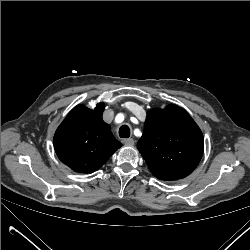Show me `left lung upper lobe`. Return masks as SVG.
Instances as JSON below:
<instances>
[{"label":"left lung upper lobe","instance_id":"5c2ea615","mask_svg":"<svg viewBox=\"0 0 250 250\" xmlns=\"http://www.w3.org/2000/svg\"><path fill=\"white\" fill-rule=\"evenodd\" d=\"M137 148L156 178L173 181L195 170L203 155L204 139L192 117L170 104L147 112Z\"/></svg>","mask_w":250,"mask_h":250}]
</instances>
